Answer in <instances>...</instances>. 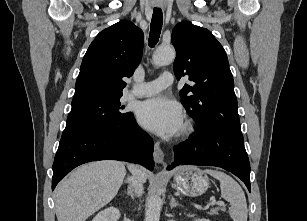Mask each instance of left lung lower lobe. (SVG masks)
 Listing matches in <instances>:
<instances>
[{
	"mask_svg": "<svg viewBox=\"0 0 307 221\" xmlns=\"http://www.w3.org/2000/svg\"><path fill=\"white\" fill-rule=\"evenodd\" d=\"M172 169L179 165L217 166L238 176L251 192L250 163L243 139L211 129L199 131L174 147Z\"/></svg>",
	"mask_w": 307,
	"mask_h": 221,
	"instance_id": "obj_1",
	"label": "left lung lower lobe"
}]
</instances>
